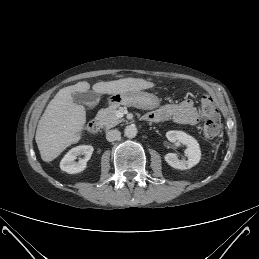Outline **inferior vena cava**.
<instances>
[{"label": "inferior vena cava", "instance_id": "602c4592", "mask_svg": "<svg viewBox=\"0 0 259 259\" xmlns=\"http://www.w3.org/2000/svg\"><path fill=\"white\" fill-rule=\"evenodd\" d=\"M120 138H121V132L119 130H117V129L109 130L106 133V139L109 142H113V141L119 140Z\"/></svg>", "mask_w": 259, "mask_h": 259}]
</instances>
